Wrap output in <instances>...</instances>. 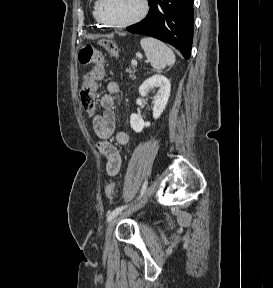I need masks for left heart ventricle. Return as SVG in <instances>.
Instances as JSON below:
<instances>
[{"instance_id": "1", "label": "left heart ventricle", "mask_w": 273, "mask_h": 288, "mask_svg": "<svg viewBox=\"0 0 273 288\" xmlns=\"http://www.w3.org/2000/svg\"><path fill=\"white\" fill-rule=\"evenodd\" d=\"M140 9V0H104L102 14L108 21L122 22L134 17Z\"/></svg>"}]
</instances>
